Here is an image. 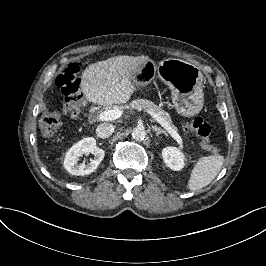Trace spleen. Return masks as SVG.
Here are the masks:
<instances>
[{
  "label": "spleen",
  "instance_id": "1",
  "mask_svg": "<svg viewBox=\"0 0 266 266\" xmlns=\"http://www.w3.org/2000/svg\"><path fill=\"white\" fill-rule=\"evenodd\" d=\"M223 162L221 155L200 158L192 170L188 188L196 191L209 185L220 172Z\"/></svg>",
  "mask_w": 266,
  "mask_h": 266
}]
</instances>
